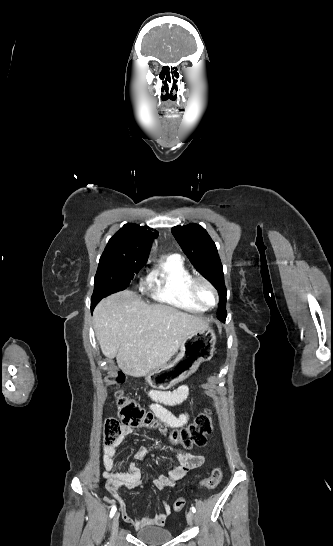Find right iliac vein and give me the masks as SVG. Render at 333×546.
<instances>
[{
	"mask_svg": "<svg viewBox=\"0 0 333 546\" xmlns=\"http://www.w3.org/2000/svg\"><path fill=\"white\" fill-rule=\"evenodd\" d=\"M118 526H119V515L118 513L115 514L113 520H112V532H111V542H115L117 533H118Z\"/></svg>",
	"mask_w": 333,
	"mask_h": 546,
	"instance_id": "63e3f726",
	"label": "right iliac vein"
}]
</instances>
